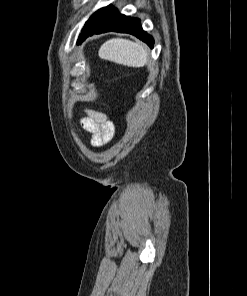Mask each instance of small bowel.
<instances>
[{
  "label": "small bowel",
  "instance_id": "obj_1",
  "mask_svg": "<svg viewBox=\"0 0 247 296\" xmlns=\"http://www.w3.org/2000/svg\"><path fill=\"white\" fill-rule=\"evenodd\" d=\"M80 123L84 130L92 134L91 144L95 147L110 141L114 134L113 122L102 112L85 109Z\"/></svg>",
  "mask_w": 247,
  "mask_h": 296
}]
</instances>
